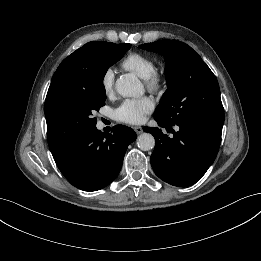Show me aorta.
Returning a JSON list of instances; mask_svg holds the SVG:
<instances>
[{"label":"aorta","instance_id":"aorta-1","mask_svg":"<svg viewBox=\"0 0 261 261\" xmlns=\"http://www.w3.org/2000/svg\"><path fill=\"white\" fill-rule=\"evenodd\" d=\"M116 91L123 97H139L144 93V87L133 73L121 75L116 81ZM137 146L142 151H149L155 146V139L150 133H142L137 138Z\"/></svg>","mask_w":261,"mask_h":261}]
</instances>
